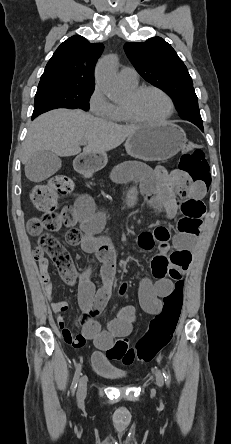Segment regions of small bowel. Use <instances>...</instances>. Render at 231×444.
<instances>
[{
  "label": "small bowel",
  "mask_w": 231,
  "mask_h": 444,
  "mask_svg": "<svg viewBox=\"0 0 231 444\" xmlns=\"http://www.w3.org/2000/svg\"><path fill=\"white\" fill-rule=\"evenodd\" d=\"M111 179L117 183H130L128 197L133 200L138 184L141 193L155 208L161 209L167 218H173L179 208V198L185 201H196L201 204L205 193L202 182H186L172 179L163 167L150 168L139 163H123L115 167ZM204 205V204H203ZM72 221L64 227L69 228L66 241L69 245L80 246L87 253L94 254L102 262L103 285L95 289L91 281V268H86L79 276L78 302L82 314L80 317L81 332L74 333L67 324L64 312L68 309L66 300L56 301L53 297V283L48 271V260L44 253L36 250L34 257L44 286V294L55 313L56 321L62 331L64 340L75 348L82 347L90 340L100 350H108L115 341L131 334L137 321V311L133 306L121 307L116 316L107 322L103 329L97 317L107 304L113 285L115 272V248L111 241L99 236L98 231L105 222V214L95 209L92 198L81 195L70 208ZM78 224L79 229L74 225ZM195 235L181 233L172 245L169 234L166 236L155 232H142L137 239L141 249L151 250L156 243L159 252L151 261V272L154 282L144 278L139 286V303L148 314H159L163 300L174 289V283L182 280L192 260V243ZM173 248V251L171 249ZM127 284L122 283L119 294H125Z\"/></svg>",
  "instance_id": "obj_1"
}]
</instances>
